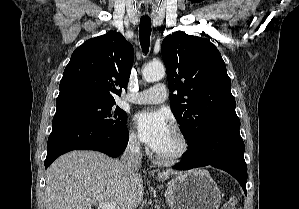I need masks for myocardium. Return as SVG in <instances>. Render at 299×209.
<instances>
[{
	"mask_svg": "<svg viewBox=\"0 0 299 209\" xmlns=\"http://www.w3.org/2000/svg\"><path fill=\"white\" fill-rule=\"evenodd\" d=\"M172 132L179 142L177 150L170 154H159L155 151L153 152L154 159L163 165H171L180 162L189 153L191 148V143L187 134L180 127L173 126Z\"/></svg>",
	"mask_w": 299,
	"mask_h": 209,
	"instance_id": "1",
	"label": "myocardium"
}]
</instances>
